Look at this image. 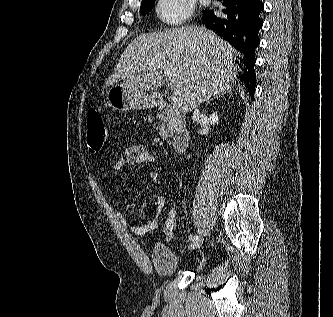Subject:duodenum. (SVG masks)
Returning a JSON list of instances; mask_svg holds the SVG:
<instances>
[{
	"label": "duodenum",
	"mask_w": 333,
	"mask_h": 317,
	"mask_svg": "<svg viewBox=\"0 0 333 317\" xmlns=\"http://www.w3.org/2000/svg\"><path fill=\"white\" fill-rule=\"evenodd\" d=\"M151 103L158 108H165L167 105L163 97L157 95L152 97ZM188 141L189 134L184 130L178 131L172 138V147L174 151L177 153L183 152L187 148Z\"/></svg>",
	"instance_id": "obj_1"
}]
</instances>
